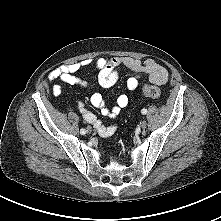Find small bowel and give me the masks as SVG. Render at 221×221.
Returning <instances> with one entry per match:
<instances>
[{"label": "small bowel", "instance_id": "1", "mask_svg": "<svg viewBox=\"0 0 221 221\" xmlns=\"http://www.w3.org/2000/svg\"><path fill=\"white\" fill-rule=\"evenodd\" d=\"M121 66L126 67L133 73V75L126 81L127 89L130 91H134L138 88L139 78L142 76L147 77L149 81L157 85L165 84L169 79L168 70L163 65L158 64L152 58L142 61L129 56H120L113 57L111 59L96 57L61 65L50 72L48 80L50 83H53V95L55 97H59L63 92V88L60 83H54L55 81L70 85L80 84L81 86H86L87 83L81 79H78L75 74L82 68L93 67L98 72L99 84L104 88H108L117 82L119 77L118 69ZM90 103L92 106L99 109L103 116L110 119H115L121 110L128 105L129 98L127 95L121 94L117 97L115 105L112 108H108L102 95L95 92L90 96ZM77 108L80 111L83 119L87 123L91 124L100 136L109 137L116 132V124H111L108 126L103 125L91 111L85 108L83 102L78 101Z\"/></svg>", "mask_w": 221, "mask_h": 221}]
</instances>
